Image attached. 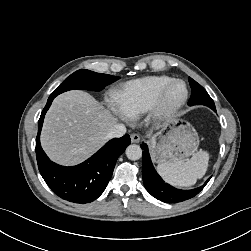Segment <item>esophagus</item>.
<instances>
[{
  "instance_id": "1",
  "label": "esophagus",
  "mask_w": 251,
  "mask_h": 251,
  "mask_svg": "<svg viewBox=\"0 0 251 251\" xmlns=\"http://www.w3.org/2000/svg\"><path fill=\"white\" fill-rule=\"evenodd\" d=\"M130 138L132 143H138L140 141V136L136 133H132Z\"/></svg>"
}]
</instances>
